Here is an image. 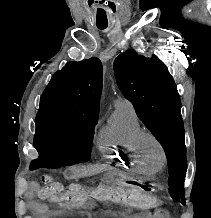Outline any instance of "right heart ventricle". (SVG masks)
Here are the masks:
<instances>
[{"label": "right heart ventricle", "instance_id": "right-heart-ventricle-1", "mask_svg": "<svg viewBox=\"0 0 211 218\" xmlns=\"http://www.w3.org/2000/svg\"><path fill=\"white\" fill-rule=\"evenodd\" d=\"M143 131L140 119L132 106L115 107L107 126L98 135L100 157L118 169H143L136 160V138Z\"/></svg>", "mask_w": 211, "mask_h": 218}]
</instances>
